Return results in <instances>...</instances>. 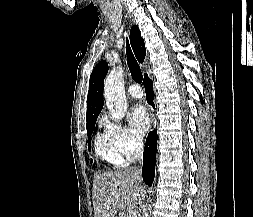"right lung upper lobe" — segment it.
Returning a JSON list of instances; mask_svg holds the SVG:
<instances>
[{
    "instance_id": "cb5924a9",
    "label": "right lung upper lobe",
    "mask_w": 253,
    "mask_h": 217,
    "mask_svg": "<svg viewBox=\"0 0 253 217\" xmlns=\"http://www.w3.org/2000/svg\"><path fill=\"white\" fill-rule=\"evenodd\" d=\"M130 41L137 60L142 63L145 59L146 49L137 26H132L130 30ZM107 72L108 65L103 60L92 71L87 98V122L97 119L103 108V85Z\"/></svg>"
}]
</instances>
